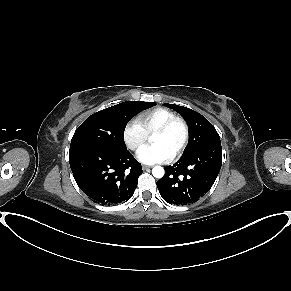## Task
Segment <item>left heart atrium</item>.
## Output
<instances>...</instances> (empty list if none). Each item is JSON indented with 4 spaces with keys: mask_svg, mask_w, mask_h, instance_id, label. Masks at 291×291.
Listing matches in <instances>:
<instances>
[{
    "mask_svg": "<svg viewBox=\"0 0 291 291\" xmlns=\"http://www.w3.org/2000/svg\"><path fill=\"white\" fill-rule=\"evenodd\" d=\"M137 158L145 164L169 162L173 153L160 144L144 145L137 151Z\"/></svg>",
    "mask_w": 291,
    "mask_h": 291,
    "instance_id": "39dd6f15",
    "label": "left heart atrium"
}]
</instances>
